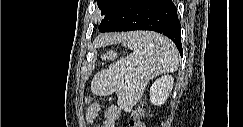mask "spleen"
Here are the masks:
<instances>
[{
  "label": "spleen",
  "instance_id": "spleen-1",
  "mask_svg": "<svg viewBox=\"0 0 243 127\" xmlns=\"http://www.w3.org/2000/svg\"><path fill=\"white\" fill-rule=\"evenodd\" d=\"M133 52L97 73L91 89L96 95L115 92L118 105L128 109L140 99L149 80L173 72L179 64L174 44L153 32H135L123 39Z\"/></svg>",
  "mask_w": 243,
  "mask_h": 127
}]
</instances>
